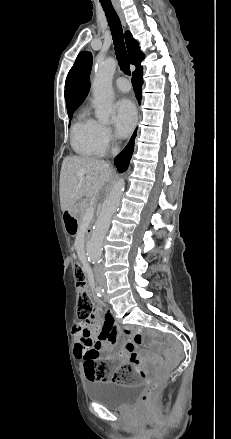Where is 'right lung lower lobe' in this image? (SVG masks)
<instances>
[{"mask_svg":"<svg viewBox=\"0 0 231 439\" xmlns=\"http://www.w3.org/2000/svg\"><path fill=\"white\" fill-rule=\"evenodd\" d=\"M132 84H133L136 98L138 100V103L140 104L141 99H142L141 87L143 84L142 67L137 68L133 72ZM136 132H137V130L134 131V134L132 135L130 141L128 142L126 147L123 149V151H121L117 155V157L114 159V163H115L116 167L118 168L119 172L125 171L129 165V162H130L133 150H134V140L136 138Z\"/></svg>","mask_w":231,"mask_h":439,"instance_id":"1","label":"right lung lower lobe"}]
</instances>
